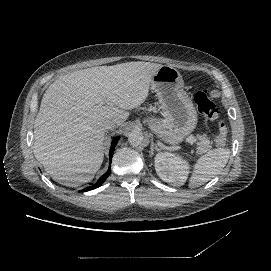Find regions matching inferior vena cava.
Masks as SVG:
<instances>
[{"mask_svg": "<svg viewBox=\"0 0 271 271\" xmlns=\"http://www.w3.org/2000/svg\"><path fill=\"white\" fill-rule=\"evenodd\" d=\"M119 122L114 121V120H105L103 121L101 127L102 129L107 132L108 130H113L116 129L119 126Z\"/></svg>", "mask_w": 271, "mask_h": 271, "instance_id": "602c4592", "label": "inferior vena cava"}]
</instances>
